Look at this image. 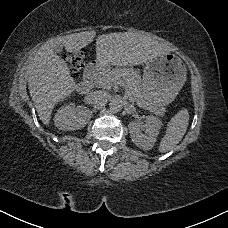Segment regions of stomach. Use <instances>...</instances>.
Instances as JSON below:
<instances>
[{"instance_id":"0dacf381","label":"stomach","mask_w":228,"mask_h":228,"mask_svg":"<svg viewBox=\"0 0 228 228\" xmlns=\"http://www.w3.org/2000/svg\"><path fill=\"white\" fill-rule=\"evenodd\" d=\"M144 64L140 101L148 109L169 106L175 101L186 79L183 61L173 53Z\"/></svg>"}]
</instances>
